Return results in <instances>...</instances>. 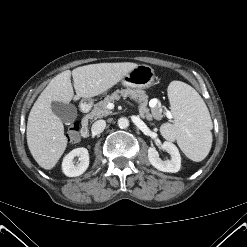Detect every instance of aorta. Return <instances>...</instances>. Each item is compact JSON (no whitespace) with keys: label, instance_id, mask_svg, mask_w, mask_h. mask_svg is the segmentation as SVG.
<instances>
[{"label":"aorta","instance_id":"762f6f07","mask_svg":"<svg viewBox=\"0 0 247 247\" xmlns=\"http://www.w3.org/2000/svg\"><path fill=\"white\" fill-rule=\"evenodd\" d=\"M118 126L120 128H127L129 126V120L125 117H122L118 120Z\"/></svg>","mask_w":247,"mask_h":247}]
</instances>
